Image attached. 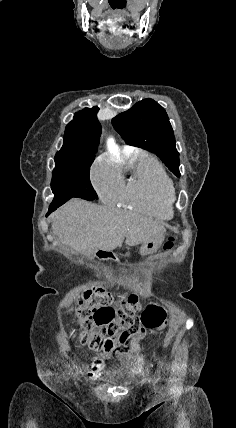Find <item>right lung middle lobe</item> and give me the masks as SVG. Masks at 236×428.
Here are the masks:
<instances>
[{"label": "right lung middle lobe", "instance_id": "right-lung-middle-lobe-1", "mask_svg": "<svg viewBox=\"0 0 236 428\" xmlns=\"http://www.w3.org/2000/svg\"><path fill=\"white\" fill-rule=\"evenodd\" d=\"M93 161L77 163H56L52 173L51 189L54 199L50 208L59 207L71 198L97 199L89 173Z\"/></svg>", "mask_w": 236, "mask_h": 428}]
</instances>
